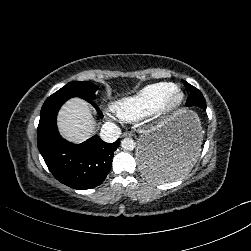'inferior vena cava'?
<instances>
[{
	"instance_id": "obj_1",
	"label": "inferior vena cava",
	"mask_w": 251,
	"mask_h": 251,
	"mask_svg": "<svg viewBox=\"0 0 251 251\" xmlns=\"http://www.w3.org/2000/svg\"><path fill=\"white\" fill-rule=\"evenodd\" d=\"M121 135V129L112 122H105L100 131V137L107 143L115 142Z\"/></svg>"
}]
</instances>
